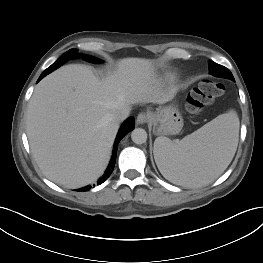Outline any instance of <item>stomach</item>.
I'll use <instances>...</instances> for the list:
<instances>
[{
    "label": "stomach",
    "mask_w": 263,
    "mask_h": 263,
    "mask_svg": "<svg viewBox=\"0 0 263 263\" xmlns=\"http://www.w3.org/2000/svg\"><path fill=\"white\" fill-rule=\"evenodd\" d=\"M151 124L156 135H173L181 131L183 119L176 107L167 106L151 113Z\"/></svg>",
    "instance_id": "stomach-1"
}]
</instances>
